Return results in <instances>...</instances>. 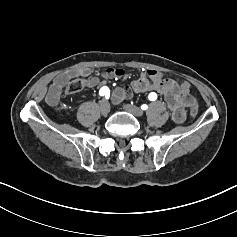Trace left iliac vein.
I'll return each instance as SVG.
<instances>
[{
	"mask_svg": "<svg viewBox=\"0 0 237 237\" xmlns=\"http://www.w3.org/2000/svg\"><path fill=\"white\" fill-rule=\"evenodd\" d=\"M123 109L131 114H133L134 116L136 117H141L143 116L144 112L142 109L136 107V106H133L131 104H125L123 106Z\"/></svg>",
	"mask_w": 237,
	"mask_h": 237,
	"instance_id": "obj_1",
	"label": "left iliac vein"
}]
</instances>
